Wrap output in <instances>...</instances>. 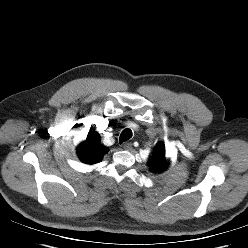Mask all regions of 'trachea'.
I'll list each match as a JSON object with an SVG mask.
<instances>
[{
    "label": "trachea",
    "mask_w": 248,
    "mask_h": 248,
    "mask_svg": "<svg viewBox=\"0 0 248 248\" xmlns=\"http://www.w3.org/2000/svg\"><path fill=\"white\" fill-rule=\"evenodd\" d=\"M132 137V131L129 128H126L125 130L122 131L119 142L120 144L129 140Z\"/></svg>",
    "instance_id": "3493384b"
}]
</instances>
